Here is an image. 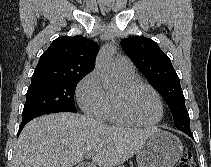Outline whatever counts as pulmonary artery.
Instances as JSON below:
<instances>
[{"instance_id": "1", "label": "pulmonary artery", "mask_w": 211, "mask_h": 167, "mask_svg": "<svg viewBox=\"0 0 211 167\" xmlns=\"http://www.w3.org/2000/svg\"><path fill=\"white\" fill-rule=\"evenodd\" d=\"M114 69L123 74H131L134 73L133 63L126 56H119L114 60Z\"/></svg>"}]
</instances>
